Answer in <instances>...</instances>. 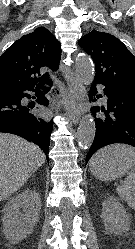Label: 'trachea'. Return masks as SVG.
Instances as JSON below:
<instances>
[{"label": "trachea", "mask_w": 135, "mask_h": 249, "mask_svg": "<svg viewBox=\"0 0 135 249\" xmlns=\"http://www.w3.org/2000/svg\"><path fill=\"white\" fill-rule=\"evenodd\" d=\"M48 77H49V75H48V74H45V75L41 78V82L38 83L37 87H38V88L49 89L50 87H47V86L44 85V82H45V80L48 79Z\"/></svg>", "instance_id": "1"}]
</instances>
